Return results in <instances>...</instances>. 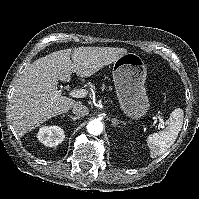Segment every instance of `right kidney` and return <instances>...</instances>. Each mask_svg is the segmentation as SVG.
Returning a JSON list of instances; mask_svg holds the SVG:
<instances>
[{
  "instance_id": "1",
  "label": "right kidney",
  "mask_w": 199,
  "mask_h": 199,
  "mask_svg": "<svg viewBox=\"0 0 199 199\" xmlns=\"http://www.w3.org/2000/svg\"><path fill=\"white\" fill-rule=\"evenodd\" d=\"M64 137L63 129L58 126H42L37 133L38 140L48 147L57 146Z\"/></svg>"
}]
</instances>
